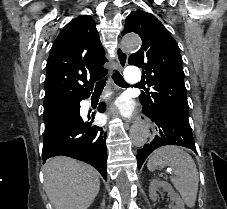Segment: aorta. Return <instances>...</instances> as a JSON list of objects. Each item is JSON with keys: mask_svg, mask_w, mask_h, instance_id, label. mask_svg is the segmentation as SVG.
<instances>
[{"mask_svg": "<svg viewBox=\"0 0 227 209\" xmlns=\"http://www.w3.org/2000/svg\"><path fill=\"white\" fill-rule=\"evenodd\" d=\"M140 45L141 40L139 36L135 34L125 36L122 39V46L126 51H136L139 49ZM148 136L149 130L143 124L137 125L131 130V140L137 147L143 146L147 142Z\"/></svg>", "mask_w": 227, "mask_h": 209, "instance_id": "obj_1", "label": "aorta"}]
</instances>
